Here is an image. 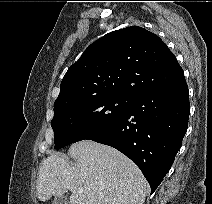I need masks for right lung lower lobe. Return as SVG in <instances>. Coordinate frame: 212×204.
Segmentation results:
<instances>
[{
    "label": "right lung lower lobe",
    "instance_id": "1",
    "mask_svg": "<svg viewBox=\"0 0 212 204\" xmlns=\"http://www.w3.org/2000/svg\"><path fill=\"white\" fill-rule=\"evenodd\" d=\"M189 113L183 75L169 85L130 97L123 116L87 140L114 147L129 157L141 169L152 194L181 147Z\"/></svg>",
    "mask_w": 212,
    "mask_h": 204
}]
</instances>
